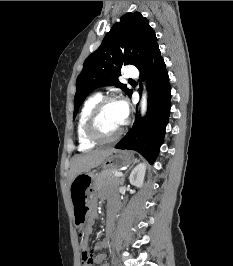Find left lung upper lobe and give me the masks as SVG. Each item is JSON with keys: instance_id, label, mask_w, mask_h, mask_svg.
Wrapping results in <instances>:
<instances>
[{"instance_id": "1", "label": "left lung upper lobe", "mask_w": 233, "mask_h": 266, "mask_svg": "<svg viewBox=\"0 0 233 266\" xmlns=\"http://www.w3.org/2000/svg\"><path fill=\"white\" fill-rule=\"evenodd\" d=\"M156 46L155 32L141 13L123 15L84 62L76 83L73 118L85 98L98 87L114 85L130 96L132 90L118 80L122 66L132 64L139 68Z\"/></svg>"}]
</instances>
